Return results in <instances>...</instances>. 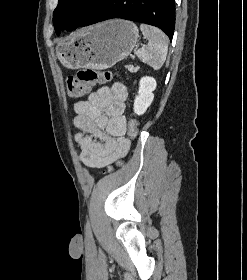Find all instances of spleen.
<instances>
[{"label": "spleen", "instance_id": "1", "mask_svg": "<svg viewBox=\"0 0 247 280\" xmlns=\"http://www.w3.org/2000/svg\"><path fill=\"white\" fill-rule=\"evenodd\" d=\"M140 30L144 38L148 40V44L138 49L137 57L154 70H158L163 66L167 57L168 38L157 27L141 24Z\"/></svg>", "mask_w": 247, "mask_h": 280}]
</instances>
